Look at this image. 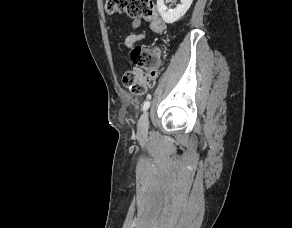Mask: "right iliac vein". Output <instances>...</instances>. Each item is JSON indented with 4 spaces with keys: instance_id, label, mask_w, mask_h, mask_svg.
Segmentation results:
<instances>
[{
    "instance_id": "63e3f726",
    "label": "right iliac vein",
    "mask_w": 292,
    "mask_h": 228,
    "mask_svg": "<svg viewBox=\"0 0 292 228\" xmlns=\"http://www.w3.org/2000/svg\"><path fill=\"white\" fill-rule=\"evenodd\" d=\"M148 125V112H145L144 114H142L138 122V134L140 136H145L147 134Z\"/></svg>"
}]
</instances>
